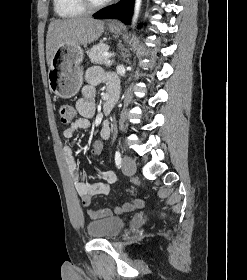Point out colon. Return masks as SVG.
Instances as JSON below:
<instances>
[{"label":"colon","mask_w":247,"mask_h":280,"mask_svg":"<svg viewBox=\"0 0 247 280\" xmlns=\"http://www.w3.org/2000/svg\"><path fill=\"white\" fill-rule=\"evenodd\" d=\"M59 116L61 122L64 124H72L75 122L77 113L75 109L69 104H61L59 106ZM105 146V141L101 136H96L92 141L89 152L92 156H99Z\"/></svg>","instance_id":"colon-1"}]
</instances>
